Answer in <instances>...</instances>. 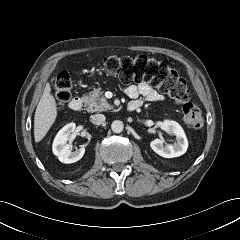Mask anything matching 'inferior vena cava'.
Returning a JSON list of instances; mask_svg holds the SVG:
<instances>
[{
    "instance_id": "602c4592",
    "label": "inferior vena cava",
    "mask_w": 240,
    "mask_h": 240,
    "mask_svg": "<svg viewBox=\"0 0 240 240\" xmlns=\"http://www.w3.org/2000/svg\"><path fill=\"white\" fill-rule=\"evenodd\" d=\"M91 122L94 125H101L105 122V116L103 114H95L91 116Z\"/></svg>"
}]
</instances>
